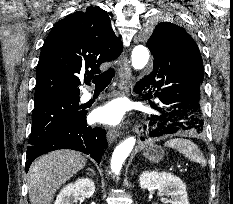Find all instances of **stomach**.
Segmentation results:
<instances>
[{"label":"stomach","mask_w":233,"mask_h":204,"mask_svg":"<svg viewBox=\"0 0 233 204\" xmlns=\"http://www.w3.org/2000/svg\"><path fill=\"white\" fill-rule=\"evenodd\" d=\"M164 154V150L156 145H150L143 150V156L152 163L160 162Z\"/></svg>","instance_id":"obj_1"}]
</instances>
